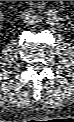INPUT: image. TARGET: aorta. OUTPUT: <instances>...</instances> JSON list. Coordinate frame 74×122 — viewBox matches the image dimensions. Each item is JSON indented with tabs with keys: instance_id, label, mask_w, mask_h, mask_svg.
Segmentation results:
<instances>
[{
	"instance_id": "762f6f07",
	"label": "aorta",
	"mask_w": 74,
	"mask_h": 122,
	"mask_svg": "<svg viewBox=\"0 0 74 122\" xmlns=\"http://www.w3.org/2000/svg\"><path fill=\"white\" fill-rule=\"evenodd\" d=\"M50 13L51 12H49L46 17L47 23L54 25L57 22V18L52 17Z\"/></svg>"
}]
</instances>
